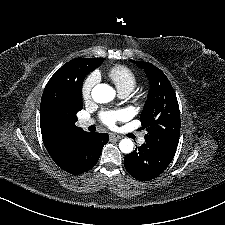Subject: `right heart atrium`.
<instances>
[{
	"label": "right heart atrium",
	"instance_id": "1",
	"mask_svg": "<svg viewBox=\"0 0 225 225\" xmlns=\"http://www.w3.org/2000/svg\"><path fill=\"white\" fill-rule=\"evenodd\" d=\"M98 75L96 73H91L87 76V78L84 80L83 86H82V97L85 100H88L91 98L92 91L95 87V85L98 83Z\"/></svg>",
	"mask_w": 225,
	"mask_h": 225
}]
</instances>
